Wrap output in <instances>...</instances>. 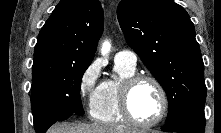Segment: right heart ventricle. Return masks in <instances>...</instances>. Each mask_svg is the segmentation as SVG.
<instances>
[{"label":"right heart ventricle","mask_w":221,"mask_h":133,"mask_svg":"<svg viewBox=\"0 0 221 133\" xmlns=\"http://www.w3.org/2000/svg\"><path fill=\"white\" fill-rule=\"evenodd\" d=\"M115 71L117 79H108L100 84L91 114L101 123L116 125L126 122L119 107V90L122 82L135 74V68L115 62Z\"/></svg>","instance_id":"1"}]
</instances>
